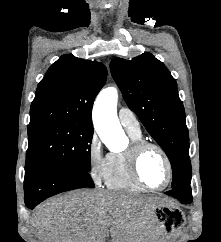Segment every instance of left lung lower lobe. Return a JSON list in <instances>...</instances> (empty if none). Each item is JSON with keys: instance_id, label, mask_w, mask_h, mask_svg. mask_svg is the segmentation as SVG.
Listing matches in <instances>:
<instances>
[{"instance_id": "0a47b994", "label": "left lung lower lobe", "mask_w": 221, "mask_h": 242, "mask_svg": "<svg viewBox=\"0 0 221 242\" xmlns=\"http://www.w3.org/2000/svg\"><path fill=\"white\" fill-rule=\"evenodd\" d=\"M167 195L177 198L183 204L192 202V193L190 184L184 185L178 188H174L168 192Z\"/></svg>"}]
</instances>
